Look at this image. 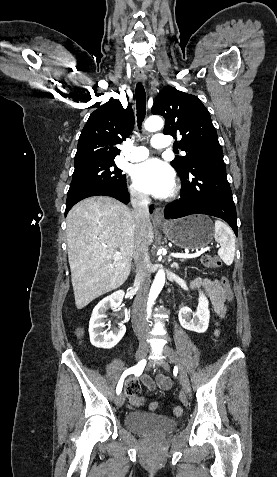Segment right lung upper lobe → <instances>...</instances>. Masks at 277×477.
Returning <instances> with one entry per match:
<instances>
[{"label": "right lung upper lobe", "mask_w": 277, "mask_h": 477, "mask_svg": "<svg viewBox=\"0 0 277 477\" xmlns=\"http://www.w3.org/2000/svg\"><path fill=\"white\" fill-rule=\"evenodd\" d=\"M134 115L130 105L124 110L121 102L110 99L88 118L79 137L74 166L114 161L121 143L132 131Z\"/></svg>", "instance_id": "cb5924a9"}]
</instances>
